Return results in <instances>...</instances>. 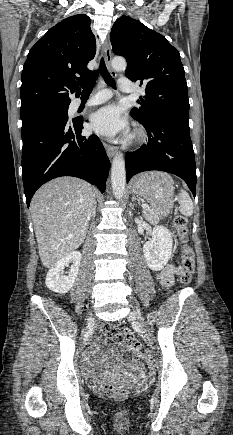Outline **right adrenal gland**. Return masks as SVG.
Instances as JSON below:
<instances>
[{
    "label": "right adrenal gland",
    "mask_w": 233,
    "mask_h": 435,
    "mask_svg": "<svg viewBox=\"0 0 233 435\" xmlns=\"http://www.w3.org/2000/svg\"><path fill=\"white\" fill-rule=\"evenodd\" d=\"M95 216H96V206H95V208H94V210H93V213H92V218L94 219V218H95Z\"/></svg>",
    "instance_id": "1"
}]
</instances>
